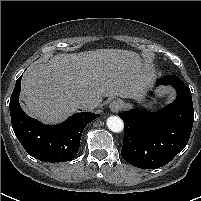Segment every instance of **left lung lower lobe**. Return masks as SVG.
I'll use <instances>...</instances> for the list:
<instances>
[{
	"label": "left lung lower lobe",
	"mask_w": 201,
	"mask_h": 201,
	"mask_svg": "<svg viewBox=\"0 0 201 201\" xmlns=\"http://www.w3.org/2000/svg\"><path fill=\"white\" fill-rule=\"evenodd\" d=\"M169 84L176 99L156 113L137 108L119 113L125 125L121 154L129 164L142 169L159 168L169 163L187 145L194 109L192 94L175 75H167L157 85Z\"/></svg>",
	"instance_id": "1"
}]
</instances>
